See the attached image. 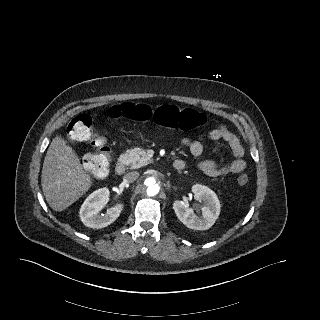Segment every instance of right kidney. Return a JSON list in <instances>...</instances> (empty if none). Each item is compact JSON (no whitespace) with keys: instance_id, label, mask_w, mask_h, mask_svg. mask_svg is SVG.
Wrapping results in <instances>:
<instances>
[{"instance_id":"obj_1","label":"right kidney","mask_w":320,"mask_h":320,"mask_svg":"<svg viewBox=\"0 0 320 320\" xmlns=\"http://www.w3.org/2000/svg\"><path fill=\"white\" fill-rule=\"evenodd\" d=\"M108 188H100L90 194L82 204L79 216L83 224L94 229H101L113 223L123 210V204L107 209L104 215L99 212L109 201Z\"/></svg>"}]
</instances>
